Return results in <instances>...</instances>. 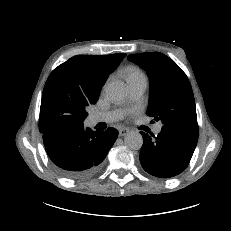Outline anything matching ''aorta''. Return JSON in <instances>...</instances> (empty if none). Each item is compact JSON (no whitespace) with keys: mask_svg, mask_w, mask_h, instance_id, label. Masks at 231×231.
<instances>
[{"mask_svg":"<svg viewBox=\"0 0 231 231\" xmlns=\"http://www.w3.org/2000/svg\"><path fill=\"white\" fill-rule=\"evenodd\" d=\"M106 92L115 102L123 101L127 96V87L121 81H114L108 84ZM125 145L131 150H139L143 144L142 135L138 131H129L124 138Z\"/></svg>","mask_w":231,"mask_h":231,"instance_id":"1","label":"aorta"}]
</instances>
